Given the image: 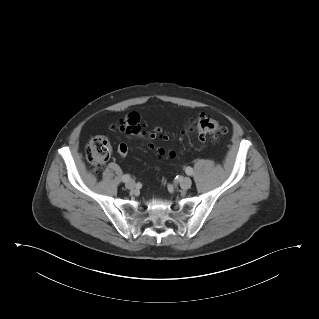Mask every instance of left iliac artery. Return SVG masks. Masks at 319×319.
<instances>
[{
    "instance_id": "left-iliac-artery-1",
    "label": "left iliac artery",
    "mask_w": 319,
    "mask_h": 319,
    "mask_svg": "<svg viewBox=\"0 0 319 319\" xmlns=\"http://www.w3.org/2000/svg\"><path fill=\"white\" fill-rule=\"evenodd\" d=\"M185 172L187 175L191 176L193 174V169L191 167H187Z\"/></svg>"
}]
</instances>
